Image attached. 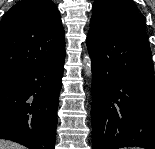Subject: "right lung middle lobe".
<instances>
[{
    "mask_svg": "<svg viewBox=\"0 0 155 149\" xmlns=\"http://www.w3.org/2000/svg\"><path fill=\"white\" fill-rule=\"evenodd\" d=\"M17 73H12V72H2L0 73V86L5 85L8 83L15 82L16 79L18 78Z\"/></svg>",
    "mask_w": 155,
    "mask_h": 149,
    "instance_id": "1",
    "label": "right lung middle lobe"
}]
</instances>
